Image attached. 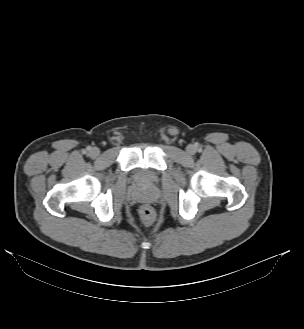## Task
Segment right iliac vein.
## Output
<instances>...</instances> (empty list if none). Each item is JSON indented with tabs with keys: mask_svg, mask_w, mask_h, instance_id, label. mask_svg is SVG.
Wrapping results in <instances>:
<instances>
[{
	"mask_svg": "<svg viewBox=\"0 0 304 329\" xmlns=\"http://www.w3.org/2000/svg\"><path fill=\"white\" fill-rule=\"evenodd\" d=\"M100 154V150L97 147H93L90 149V155L92 157H97Z\"/></svg>",
	"mask_w": 304,
	"mask_h": 329,
	"instance_id": "right-iliac-vein-1",
	"label": "right iliac vein"
}]
</instances>
